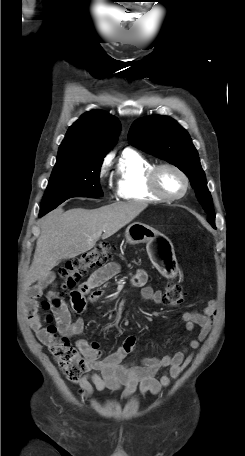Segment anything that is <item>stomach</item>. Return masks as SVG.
Wrapping results in <instances>:
<instances>
[{"label":"stomach","instance_id":"obj_1","mask_svg":"<svg viewBox=\"0 0 245 456\" xmlns=\"http://www.w3.org/2000/svg\"><path fill=\"white\" fill-rule=\"evenodd\" d=\"M125 237L131 245L146 243L149 258L162 275L168 278L176 275L174 248L165 235L149 225L134 222L127 227Z\"/></svg>","mask_w":245,"mask_h":456}]
</instances>
